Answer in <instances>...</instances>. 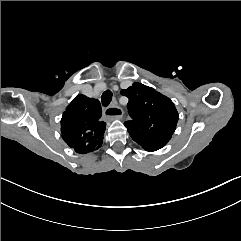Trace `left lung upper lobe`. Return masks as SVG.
I'll use <instances>...</instances> for the list:
<instances>
[{"mask_svg":"<svg viewBox=\"0 0 241 241\" xmlns=\"http://www.w3.org/2000/svg\"><path fill=\"white\" fill-rule=\"evenodd\" d=\"M121 94L129 98L127 108L132 120L124 125L131 138L146 151L162 148L170 140L178 121L173 102L140 83L121 90Z\"/></svg>","mask_w":241,"mask_h":241,"instance_id":"left-lung-upper-lobe-1","label":"left lung upper lobe"}]
</instances>
